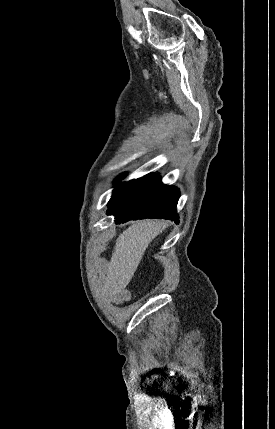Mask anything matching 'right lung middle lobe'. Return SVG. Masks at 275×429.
<instances>
[{"label": "right lung middle lobe", "instance_id": "right-lung-middle-lobe-1", "mask_svg": "<svg viewBox=\"0 0 275 429\" xmlns=\"http://www.w3.org/2000/svg\"><path fill=\"white\" fill-rule=\"evenodd\" d=\"M125 174H122L120 177H123ZM132 181H129V182H124V183H122V184H120L115 190H114V192H113V196L115 195V194H117L119 191H121L123 188H125L129 183H131Z\"/></svg>", "mask_w": 275, "mask_h": 429}]
</instances>
